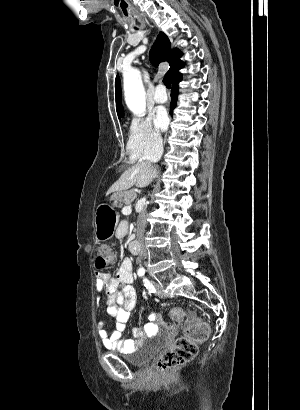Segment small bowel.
<instances>
[{
    "mask_svg": "<svg viewBox=\"0 0 300 410\" xmlns=\"http://www.w3.org/2000/svg\"><path fill=\"white\" fill-rule=\"evenodd\" d=\"M132 263L124 259L116 275L96 273V292L98 296H107V312L115 321V330L109 332L103 322L98 324V335L103 345L108 349L120 352H131L141 346L146 340L157 335L165 323L157 313L149 315V322L143 328H134L133 338H123L130 313L137 303V294L133 283Z\"/></svg>",
    "mask_w": 300,
    "mask_h": 410,
    "instance_id": "c3829d8e",
    "label": "small bowel"
}]
</instances>
